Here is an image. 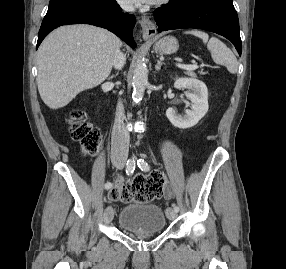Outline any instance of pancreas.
Masks as SVG:
<instances>
[{"mask_svg": "<svg viewBox=\"0 0 286 269\" xmlns=\"http://www.w3.org/2000/svg\"><path fill=\"white\" fill-rule=\"evenodd\" d=\"M186 75L191 76V77H196V74L193 71H186Z\"/></svg>", "mask_w": 286, "mask_h": 269, "instance_id": "obj_1", "label": "pancreas"}]
</instances>
